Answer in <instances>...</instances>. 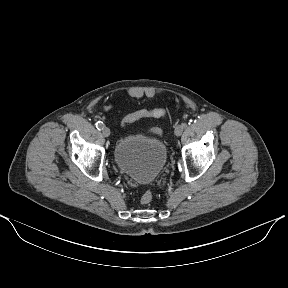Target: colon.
<instances>
[{"mask_svg": "<svg viewBox=\"0 0 288 288\" xmlns=\"http://www.w3.org/2000/svg\"><path fill=\"white\" fill-rule=\"evenodd\" d=\"M167 113H168L167 108H156V109H151V110L142 109V110H138L136 112L126 115L123 118L122 123L124 125H127L137 120H140L142 118H159V117L165 116ZM151 133L161 135L162 132L158 128H153L151 130ZM152 199H153V194L150 191H146L141 196L140 202L142 204H149L152 201Z\"/></svg>", "mask_w": 288, "mask_h": 288, "instance_id": "5ec220e1", "label": "colon"}]
</instances>
